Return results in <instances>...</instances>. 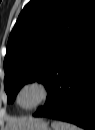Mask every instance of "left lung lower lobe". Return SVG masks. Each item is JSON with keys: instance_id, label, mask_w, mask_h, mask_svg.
<instances>
[{"instance_id": "1", "label": "left lung lower lobe", "mask_w": 95, "mask_h": 130, "mask_svg": "<svg viewBox=\"0 0 95 130\" xmlns=\"http://www.w3.org/2000/svg\"><path fill=\"white\" fill-rule=\"evenodd\" d=\"M46 104L34 113L95 129V13L88 16L55 68Z\"/></svg>"}]
</instances>
